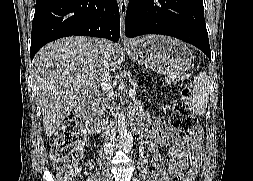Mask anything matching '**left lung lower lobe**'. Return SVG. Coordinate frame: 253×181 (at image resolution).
<instances>
[{
  "mask_svg": "<svg viewBox=\"0 0 253 181\" xmlns=\"http://www.w3.org/2000/svg\"><path fill=\"white\" fill-rule=\"evenodd\" d=\"M126 36L162 34L192 44L211 60L202 0H130Z\"/></svg>",
  "mask_w": 253,
  "mask_h": 181,
  "instance_id": "0a47b994",
  "label": "left lung lower lobe"
}]
</instances>
